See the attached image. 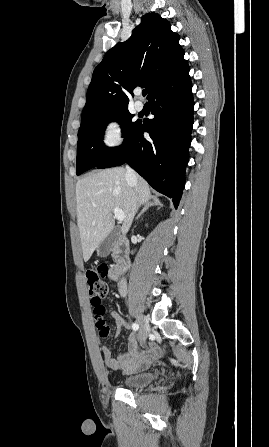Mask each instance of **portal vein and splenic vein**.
Masks as SVG:
<instances>
[{
	"instance_id": "18ae733b",
	"label": "portal vein and splenic vein",
	"mask_w": 269,
	"mask_h": 447,
	"mask_svg": "<svg viewBox=\"0 0 269 447\" xmlns=\"http://www.w3.org/2000/svg\"><path fill=\"white\" fill-rule=\"evenodd\" d=\"M115 214V218H117L118 222H123L125 216L123 210H120V208H114L113 210Z\"/></svg>"
}]
</instances>
